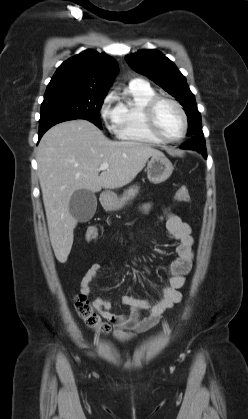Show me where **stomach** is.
Instances as JSON below:
<instances>
[{
    "label": "stomach",
    "mask_w": 248,
    "mask_h": 419,
    "mask_svg": "<svg viewBox=\"0 0 248 419\" xmlns=\"http://www.w3.org/2000/svg\"><path fill=\"white\" fill-rule=\"evenodd\" d=\"M173 169L172 163L164 155L152 156L147 164V177L150 182L158 184L167 180L171 176ZM131 199V196H125L120 199L116 195H111L108 200L103 201V206L110 211L119 210Z\"/></svg>",
    "instance_id": "obj_1"
}]
</instances>
